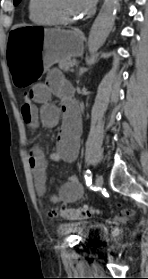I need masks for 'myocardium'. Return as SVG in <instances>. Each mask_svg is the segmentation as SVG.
Listing matches in <instances>:
<instances>
[{
	"instance_id": "myocardium-1",
	"label": "myocardium",
	"mask_w": 148,
	"mask_h": 279,
	"mask_svg": "<svg viewBox=\"0 0 148 279\" xmlns=\"http://www.w3.org/2000/svg\"><path fill=\"white\" fill-rule=\"evenodd\" d=\"M37 8L42 14L58 24H73L80 20L79 17L67 18L62 16L53 0H37Z\"/></svg>"
}]
</instances>
